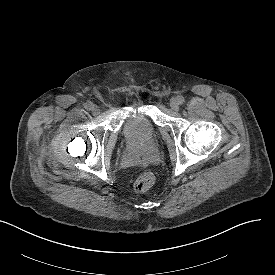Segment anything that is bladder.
Here are the masks:
<instances>
[{
  "instance_id": "obj_1",
  "label": "bladder",
  "mask_w": 275,
  "mask_h": 275,
  "mask_svg": "<svg viewBox=\"0 0 275 275\" xmlns=\"http://www.w3.org/2000/svg\"><path fill=\"white\" fill-rule=\"evenodd\" d=\"M131 105L136 107L134 102H131ZM154 134V126L138 115L130 118L124 126L126 139L137 146L147 145L154 137Z\"/></svg>"
}]
</instances>
